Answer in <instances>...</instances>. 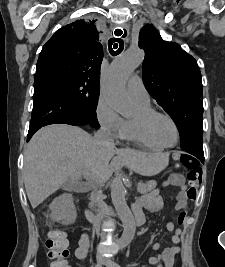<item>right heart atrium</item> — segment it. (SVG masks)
Returning a JSON list of instances; mask_svg holds the SVG:
<instances>
[{
  "label": "right heart atrium",
  "mask_w": 225,
  "mask_h": 267,
  "mask_svg": "<svg viewBox=\"0 0 225 267\" xmlns=\"http://www.w3.org/2000/svg\"><path fill=\"white\" fill-rule=\"evenodd\" d=\"M96 115L100 125L114 135H121L124 119L114 105L104 96H100L96 106Z\"/></svg>",
  "instance_id": "d8ad5b80"
}]
</instances>
